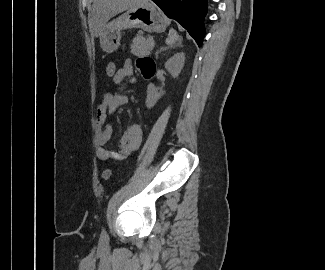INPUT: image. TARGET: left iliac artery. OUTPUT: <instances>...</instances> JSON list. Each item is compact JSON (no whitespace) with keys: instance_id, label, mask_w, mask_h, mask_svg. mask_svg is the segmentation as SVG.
Returning <instances> with one entry per match:
<instances>
[{"instance_id":"left-iliac-artery-1","label":"left iliac artery","mask_w":325,"mask_h":270,"mask_svg":"<svg viewBox=\"0 0 325 270\" xmlns=\"http://www.w3.org/2000/svg\"><path fill=\"white\" fill-rule=\"evenodd\" d=\"M102 236H103L104 238H106V237H107V233H106V231H105V229H104V228L102 229Z\"/></svg>"}]
</instances>
